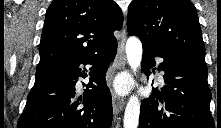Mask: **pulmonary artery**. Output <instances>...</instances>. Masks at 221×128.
Instances as JSON below:
<instances>
[{
  "instance_id": "pulmonary-artery-1",
  "label": "pulmonary artery",
  "mask_w": 221,
  "mask_h": 128,
  "mask_svg": "<svg viewBox=\"0 0 221 128\" xmlns=\"http://www.w3.org/2000/svg\"><path fill=\"white\" fill-rule=\"evenodd\" d=\"M157 62L158 64H160L161 60L159 58H157ZM160 66V65H159ZM161 74L163 75V72L161 71Z\"/></svg>"
}]
</instances>
